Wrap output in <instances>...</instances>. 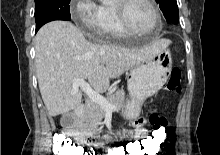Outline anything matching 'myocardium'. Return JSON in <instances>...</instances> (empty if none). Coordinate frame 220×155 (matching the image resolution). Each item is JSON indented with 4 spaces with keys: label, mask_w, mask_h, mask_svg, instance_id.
<instances>
[{
    "label": "myocardium",
    "mask_w": 220,
    "mask_h": 155,
    "mask_svg": "<svg viewBox=\"0 0 220 155\" xmlns=\"http://www.w3.org/2000/svg\"><path fill=\"white\" fill-rule=\"evenodd\" d=\"M131 1L132 0H119L118 3L115 5V10L117 12L118 18L125 31L133 35H147L156 31L160 27L161 17L154 0H144L149 5L153 15V25L151 26V28L144 31L135 29L128 20L126 10L127 5Z\"/></svg>",
    "instance_id": "1"
}]
</instances>
